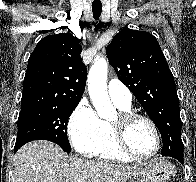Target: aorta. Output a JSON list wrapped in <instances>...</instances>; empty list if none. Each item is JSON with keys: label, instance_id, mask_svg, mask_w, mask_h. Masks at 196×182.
<instances>
[{"label": "aorta", "instance_id": "762f6f07", "mask_svg": "<svg viewBox=\"0 0 196 182\" xmlns=\"http://www.w3.org/2000/svg\"><path fill=\"white\" fill-rule=\"evenodd\" d=\"M107 71L108 62L106 59L96 58L89 70L87 78L91 102L95 107L98 116L105 120L111 119L116 113L107 92Z\"/></svg>", "mask_w": 196, "mask_h": 182}]
</instances>
